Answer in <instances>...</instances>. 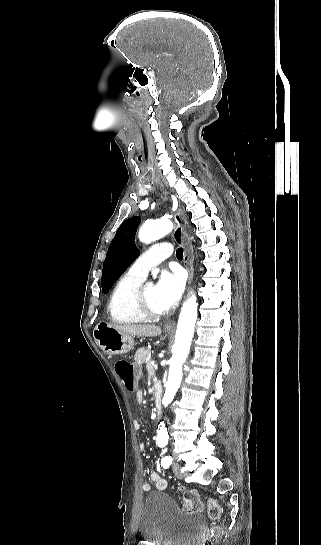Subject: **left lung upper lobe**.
Segmentation results:
<instances>
[{"mask_svg":"<svg viewBox=\"0 0 321 545\" xmlns=\"http://www.w3.org/2000/svg\"><path fill=\"white\" fill-rule=\"evenodd\" d=\"M140 221V217H132L124 221L117 230L103 263L102 291L104 293L110 290L138 256L134 237Z\"/></svg>","mask_w":321,"mask_h":545,"instance_id":"5c2ea615","label":"left lung upper lobe"}]
</instances>
